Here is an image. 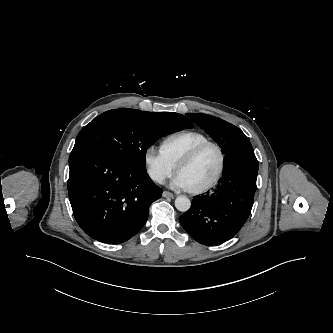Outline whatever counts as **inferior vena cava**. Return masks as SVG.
Masks as SVG:
<instances>
[{"instance_id":"1","label":"inferior vena cava","mask_w":333,"mask_h":333,"mask_svg":"<svg viewBox=\"0 0 333 333\" xmlns=\"http://www.w3.org/2000/svg\"><path fill=\"white\" fill-rule=\"evenodd\" d=\"M156 181L159 182V183H162L163 182V178H157Z\"/></svg>"}]
</instances>
